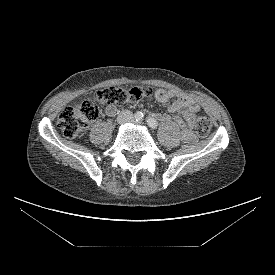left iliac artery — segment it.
I'll return each instance as SVG.
<instances>
[{
  "mask_svg": "<svg viewBox=\"0 0 275 275\" xmlns=\"http://www.w3.org/2000/svg\"><path fill=\"white\" fill-rule=\"evenodd\" d=\"M147 124L149 125V127L155 129L158 126V122L156 121V119L152 118V117H148L147 118Z\"/></svg>",
  "mask_w": 275,
  "mask_h": 275,
  "instance_id": "obj_1",
  "label": "left iliac artery"
}]
</instances>
